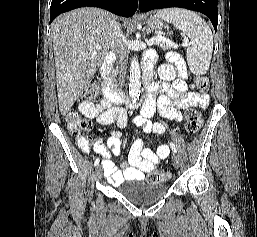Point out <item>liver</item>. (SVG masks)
<instances>
[{"instance_id":"6515ba94","label":"liver","mask_w":257,"mask_h":237,"mask_svg":"<svg viewBox=\"0 0 257 237\" xmlns=\"http://www.w3.org/2000/svg\"><path fill=\"white\" fill-rule=\"evenodd\" d=\"M113 15L80 8L57 17L51 25L59 110L65 115L83 94L110 49Z\"/></svg>"}]
</instances>
